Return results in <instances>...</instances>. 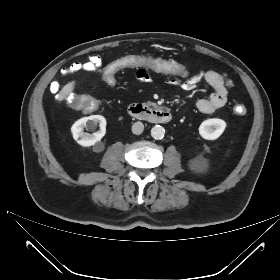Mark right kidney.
Masks as SVG:
<instances>
[{"label":"right kidney","mask_w":280,"mask_h":280,"mask_svg":"<svg viewBox=\"0 0 280 280\" xmlns=\"http://www.w3.org/2000/svg\"><path fill=\"white\" fill-rule=\"evenodd\" d=\"M99 124L100 130L93 134L83 132L84 128L94 129ZM74 140L81 146L88 147L100 141L106 133V119L101 115H91L77 120L71 127Z\"/></svg>","instance_id":"obj_1"}]
</instances>
